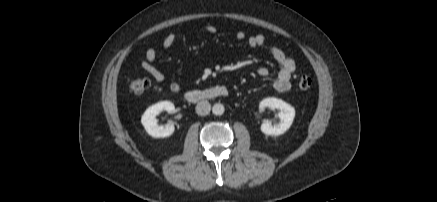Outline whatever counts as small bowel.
<instances>
[{"label":"small bowel","mask_w":437,"mask_h":202,"mask_svg":"<svg viewBox=\"0 0 437 202\" xmlns=\"http://www.w3.org/2000/svg\"><path fill=\"white\" fill-rule=\"evenodd\" d=\"M206 31L210 34H214L217 28L214 25L206 26ZM237 40H244L246 34L243 31H238L235 34ZM176 36L174 33L167 34L162 41V48L169 49L175 43ZM247 43L251 48H263L266 47V38L263 34L252 35L247 38ZM268 50L276 63L279 66L277 77L273 83V87L278 92H286L291 88V78L296 70L295 61L289 57L283 50L276 46H269ZM158 57L157 50L155 48H149L146 50L144 58L141 61V67L146 71L157 83H162L165 80L164 74L155 66V61ZM261 77H267L270 74V70L266 67H261L257 71ZM170 90L173 93H179L181 86L177 82L170 84Z\"/></svg>","instance_id":"1"}]
</instances>
